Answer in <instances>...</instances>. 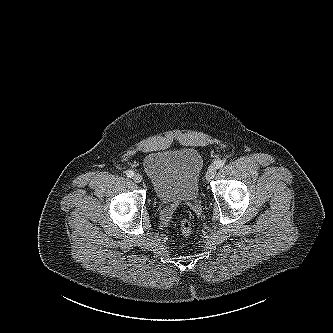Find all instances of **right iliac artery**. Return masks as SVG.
Masks as SVG:
<instances>
[{"label": "right iliac artery", "mask_w": 333, "mask_h": 333, "mask_svg": "<svg viewBox=\"0 0 333 333\" xmlns=\"http://www.w3.org/2000/svg\"><path fill=\"white\" fill-rule=\"evenodd\" d=\"M126 175H127V177H130V178H131V177H133L134 172L131 171V170H129V171H127Z\"/></svg>", "instance_id": "right-iliac-artery-1"}]
</instances>
